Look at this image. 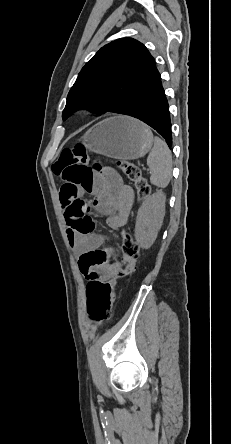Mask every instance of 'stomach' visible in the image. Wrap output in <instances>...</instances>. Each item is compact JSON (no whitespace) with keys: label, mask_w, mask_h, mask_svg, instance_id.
I'll use <instances>...</instances> for the list:
<instances>
[{"label":"stomach","mask_w":231,"mask_h":444,"mask_svg":"<svg viewBox=\"0 0 231 444\" xmlns=\"http://www.w3.org/2000/svg\"><path fill=\"white\" fill-rule=\"evenodd\" d=\"M81 141L92 152L120 160H133L148 153L154 140L145 124L119 115L95 124Z\"/></svg>","instance_id":"0dacf381"}]
</instances>
